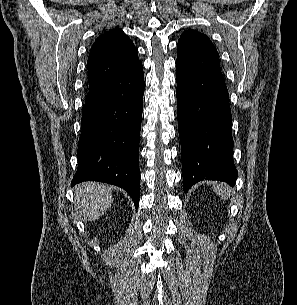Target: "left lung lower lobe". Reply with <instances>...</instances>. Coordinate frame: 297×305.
<instances>
[{"mask_svg":"<svg viewBox=\"0 0 297 305\" xmlns=\"http://www.w3.org/2000/svg\"><path fill=\"white\" fill-rule=\"evenodd\" d=\"M176 80L184 190L201 180L234 186L231 111L221 71L186 72L177 63Z\"/></svg>","mask_w":297,"mask_h":305,"instance_id":"obj_1","label":"left lung lower lobe"}]
</instances>
